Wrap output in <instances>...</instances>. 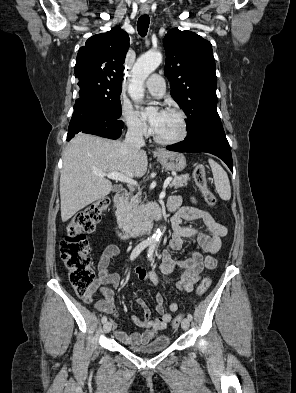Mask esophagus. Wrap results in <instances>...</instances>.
I'll return each instance as SVG.
<instances>
[{
	"instance_id": "obj_1",
	"label": "esophagus",
	"mask_w": 296,
	"mask_h": 393,
	"mask_svg": "<svg viewBox=\"0 0 296 393\" xmlns=\"http://www.w3.org/2000/svg\"><path fill=\"white\" fill-rule=\"evenodd\" d=\"M141 13L142 14H147L148 13V11L147 10H141ZM157 151H160L159 149H157Z\"/></svg>"
}]
</instances>
